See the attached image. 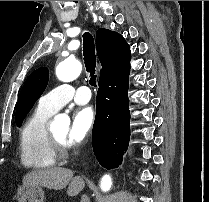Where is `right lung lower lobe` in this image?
I'll use <instances>...</instances> for the list:
<instances>
[{
    "label": "right lung lower lobe",
    "mask_w": 209,
    "mask_h": 202,
    "mask_svg": "<svg viewBox=\"0 0 209 202\" xmlns=\"http://www.w3.org/2000/svg\"><path fill=\"white\" fill-rule=\"evenodd\" d=\"M127 90L128 83L114 87L99 85L92 143L97 160L107 169L117 168L122 163L129 145Z\"/></svg>",
    "instance_id": "98d812e1"
}]
</instances>
